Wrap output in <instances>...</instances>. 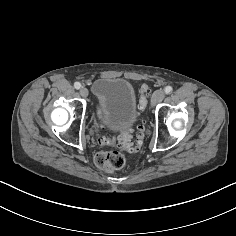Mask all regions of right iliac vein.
<instances>
[{
    "instance_id": "63e3f726",
    "label": "right iliac vein",
    "mask_w": 236,
    "mask_h": 236,
    "mask_svg": "<svg viewBox=\"0 0 236 236\" xmlns=\"http://www.w3.org/2000/svg\"><path fill=\"white\" fill-rule=\"evenodd\" d=\"M88 94H89V92H88V89H87V88L82 87V88L80 89V95H81L82 97L86 98V97L88 96Z\"/></svg>"
}]
</instances>
